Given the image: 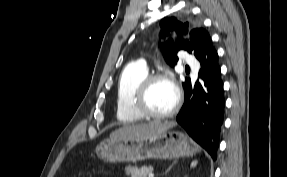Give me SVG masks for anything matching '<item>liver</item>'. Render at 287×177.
<instances>
[{
    "label": "liver",
    "instance_id": "6515ba94",
    "mask_svg": "<svg viewBox=\"0 0 287 177\" xmlns=\"http://www.w3.org/2000/svg\"><path fill=\"white\" fill-rule=\"evenodd\" d=\"M175 126L174 122L152 121L145 124L127 125L113 131L111 138H140L158 134Z\"/></svg>",
    "mask_w": 287,
    "mask_h": 177
}]
</instances>
